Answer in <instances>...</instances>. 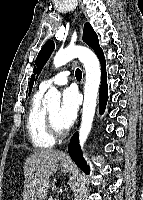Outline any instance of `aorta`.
Here are the masks:
<instances>
[{
    "label": "aorta",
    "instance_id": "762f6f07",
    "mask_svg": "<svg viewBox=\"0 0 143 200\" xmlns=\"http://www.w3.org/2000/svg\"><path fill=\"white\" fill-rule=\"evenodd\" d=\"M74 58H78L80 62L83 63L86 71L82 120L79 129L80 145L83 147L92 128L101 70L99 60L95 53L84 46L70 45L63 50L58 51L54 57L53 64L55 68H58ZM45 99L49 107L60 105V93L55 87L49 89Z\"/></svg>",
    "mask_w": 143,
    "mask_h": 200
}]
</instances>
